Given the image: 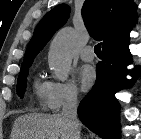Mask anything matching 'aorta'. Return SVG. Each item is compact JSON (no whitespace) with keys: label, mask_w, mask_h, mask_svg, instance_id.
<instances>
[{"label":"aorta","mask_w":141,"mask_h":139,"mask_svg":"<svg viewBox=\"0 0 141 139\" xmlns=\"http://www.w3.org/2000/svg\"><path fill=\"white\" fill-rule=\"evenodd\" d=\"M74 47L75 35L70 27L61 29L51 42L48 62L56 78L60 81L68 79Z\"/></svg>","instance_id":"aorta-1"}]
</instances>
